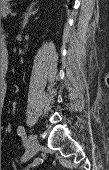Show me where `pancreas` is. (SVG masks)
I'll return each instance as SVG.
<instances>
[{
    "mask_svg": "<svg viewBox=\"0 0 109 170\" xmlns=\"http://www.w3.org/2000/svg\"><path fill=\"white\" fill-rule=\"evenodd\" d=\"M11 13V9L9 6H3L1 8V18H6Z\"/></svg>",
    "mask_w": 109,
    "mask_h": 170,
    "instance_id": "pancreas-1",
    "label": "pancreas"
}]
</instances>
